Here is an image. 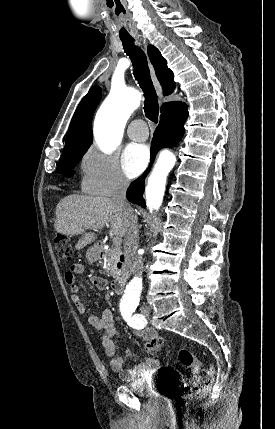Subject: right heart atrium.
Segmentation results:
<instances>
[{
  "label": "right heart atrium",
  "instance_id": "d8ad5b80",
  "mask_svg": "<svg viewBox=\"0 0 275 429\" xmlns=\"http://www.w3.org/2000/svg\"><path fill=\"white\" fill-rule=\"evenodd\" d=\"M81 185L85 192L97 196H110L129 186V180L113 154L88 148L80 160Z\"/></svg>",
  "mask_w": 275,
  "mask_h": 429
}]
</instances>
